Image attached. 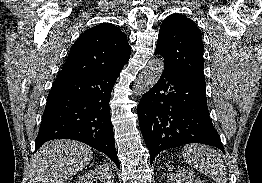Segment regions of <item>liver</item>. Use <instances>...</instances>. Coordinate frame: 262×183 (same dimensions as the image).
Segmentation results:
<instances>
[{
	"instance_id": "6515ba94",
	"label": "liver",
	"mask_w": 262,
	"mask_h": 183,
	"mask_svg": "<svg viewBox=\"0 0 262 183\" xmlns=\"http://www.w3.org/2000/svg\"><path fill=\"white\" fill-rule=\"evenodd\" d=\"M93 158L92 148L75 140H53L31 159V183H65Z\"/></svg>"
}]
</instances>
